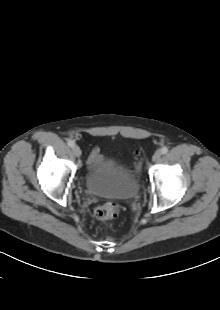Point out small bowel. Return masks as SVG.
Instances as JSON below:
<instances>
[{
  "instance_id": "1",
  "label": "small bowel",
  "mask_w": 220,
  "mask_h": 310,
  "mask_svg": "<svg viewBox=\"0 0 220 310\" xmlns=\"http://www.w3.org/2000/svg\"><path fill=\"white\" fill-rule=\"evenodd\" d=\"M103 159V156L98 148L92 150L88 158V164L91 167L98 165Z\"/></svg>"
}]
</instances>
